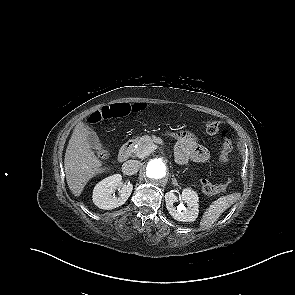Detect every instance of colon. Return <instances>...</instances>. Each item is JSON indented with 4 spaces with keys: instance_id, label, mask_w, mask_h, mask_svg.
I'll use <instances>...</instances> for the list:
<instances>
[{
    "instance_id": "colon-1",
    "label": "colon",
    "mask_w": 295,
    "mask_h": 295,
    "mask_svg": "<svg viewBox=\"0 0 295 295\" xmlns=\"http://www.w3.org/2000/svg\"><path fill=\"white\" fill-rule=\"evenodd\" d=\"M145 108L142 103H115L110 106H105L101 110H97L92 113L88 119L90 123H97L102 120L111 118H122L129 115L132 112H139ZM205 129L208 134L215 137L221 144V150L219 154V163L226 165L229 162V156L231 153V144L229 142V130L217 121L208 120L205 124ZM100 158H106L107 152L101 150L98 152ZM227 183H212L207 180L202 181L201 188L205 194L212 195L218 194L226 190Z\"/></svg>"
}]
</instances>
